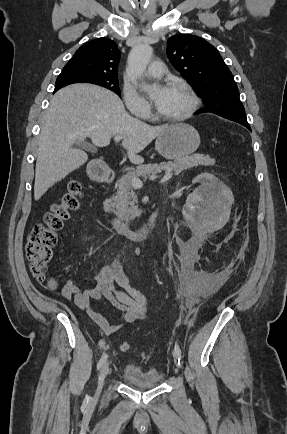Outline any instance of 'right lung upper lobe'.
Here are the masks:
<instances>
[{
    "label": "right lung upper lobe",
    "instance_id": "obj_1",
    "mask_svg": "<svg viewBox=\"0 0 287 434\" xmlns=\"http://www.w3.org/2000/svg\"><path fill=\"white\" fill-rule=\"evenodd\" d=\"M119 59L120 51L116 42L108 38H98L80 47L64 68L117 77ZM60 88L62 87H55L54 92Z\"/></svg>",
    "mask_w": 287,
    "mask_h": 434
}]
</instances>
